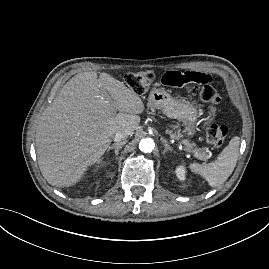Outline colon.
Returning a JSON list of instances; mask_svg holds the SVG:
<instances>
[{
  "label": "colon",
  "mask_w": 269,
  "mask_h": 269,
  "mask_svg": "<svg viewBox=\"0 0 269 269\" xmlns=\"http://www.w3.org/2000/svg\"><path fill=\"white\" fill-rule=\"evenodd\" d=\"M154 80L155 74L152 71L130 73L125 77L127 86L140 95L149 88ZM185 91L188 94L198 95L202 102L209 101L212 104H218L222 98L218 90H215L212 85L204 87L200 84L188 82L185 85ZM227 133L228 128L226 125L210 124L206 130V141L214 148H219L224 144Z\"/></svg>",
  "instance_id": "5ec220e1"
}]
</instances>
